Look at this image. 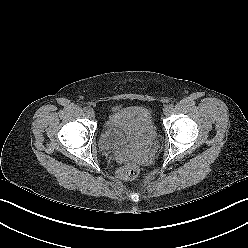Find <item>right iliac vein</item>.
<instances>
[{
    "label": "right iliac vein",
    "mask_w": 248,
    "mask_h": 248,
    "mask_svg": "<svg viewBox=\"0 0 248 248\" xmlns=\"http://www.w3.org/2000/svg\"><path fill=\"white\" fill-rule=\"evenodd\" d=\"M87 115H88L89 117H93V116L95 115L94 110H93V109L87 110Z\"/></svg>",
    "instance_id": "obj_1"
}]
</instances>
